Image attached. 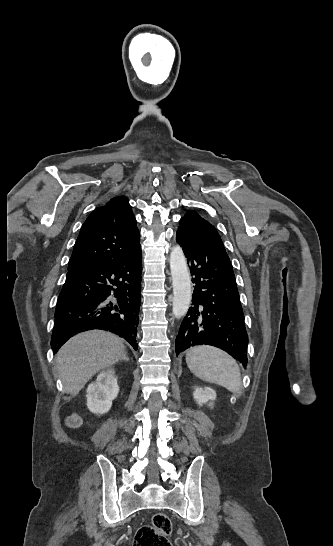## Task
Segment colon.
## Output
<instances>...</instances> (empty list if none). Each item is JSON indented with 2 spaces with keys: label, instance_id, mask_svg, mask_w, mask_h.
Segmentation results:
<instances>
[{
  "label": "colon",
  "instance_id": "obj_1",
  "mask_svg": "<svg viewBox=\"0 0 333 546\" xmlns=\"http://www.w3.org/2000/svg\"><path fill=\"white\" fill-rule=\"evenodd\" d=\"M171 529L172 524L168 515L157 513L153 516L151 524L137 530L134 546H170L168 536Z\"/></svg>",
  "mask_w": 333,
  "mask_h": 546
}]
</instances>
